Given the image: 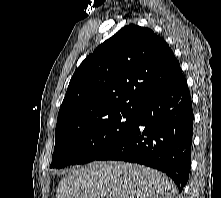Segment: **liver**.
<instances>
[{"label":"liver","instance_id":"6515ba94","mask_svg":"<svg viewBox=\"0 0 221 198\" xmlns=\"http://www.w3.org/2000/svg\"><path fill=\"white\" fill-rule=\"evenodd\" d=\"M176 187L149 167L117 162H93L72 169L60 181L56 198H175Z\"/></svg>","mask_w":221,"mask_h":198}]
</instances>
